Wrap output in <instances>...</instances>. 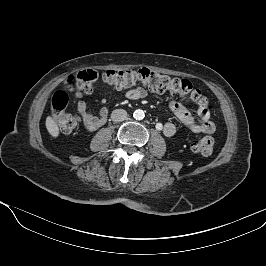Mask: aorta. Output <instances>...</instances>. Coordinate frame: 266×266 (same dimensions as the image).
I'll list each match as a JSON object with an SVG mask.
<instances>
[{
    "label": "aorta",
    "instance_id": "aorta-1",
    "mask_svg": "<svg viewBox=\"0 0 266 266\" xmlns=\"http://www.w3.org/2000/svg\"><path fill=\"white\" fill-rule=\"evenodd\" d=\"M133 117L136 120H142L145 117L144 111L141 110V109L135 110L134 113H133Z\"/></svg>",
    "mask_w": 266,
    "mask_h": 266
}]
</instances>
